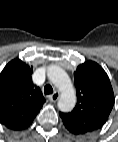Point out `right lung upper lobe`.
I'll return each instance as SVG.
<instances>
[{
    "label": "right lung upper lobe",
    "mask_w": 118,
    "mask_h": 142,
    "mask_svg": "<svg viewBox=\"0 0 118 142\" xmlns=\"http://www.w3.org/2000/svg\"><path fill=\"white\" fill-rule=\"evenodd\" d=\"M32 70L14 59L0 73V123L9 129L29 127L45 103L40 88L32 82Z\"/></svg>",
    "instance_id": "obj_1"
}]
</instances>
